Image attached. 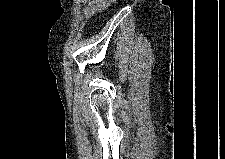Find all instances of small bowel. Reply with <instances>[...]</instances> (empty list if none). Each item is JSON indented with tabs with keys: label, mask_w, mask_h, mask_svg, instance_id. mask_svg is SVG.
I'll list each match as a JSON object with an SVG mask.
<instances>
[{
	"label": "small bowel",
	"mask_w": 225,
	"mask_h": 159,
	"mask_svg": "<svg viewBox=\"0 0 225 159\" xmlns=\"http://www.w3.org/2000/svg\"><path fill=\"white\" fill-rule=\"evenodd\" d=\"M108 3V0L83 1L81 2V9L87 17H91L105 9Z\"/></svg>",
	"instance_id": "1"
}]
</instances>
